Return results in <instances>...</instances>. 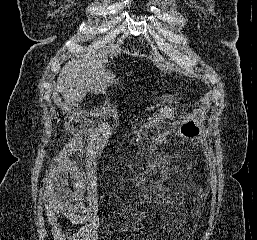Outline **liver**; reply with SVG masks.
<instances>
[{
	"instance_id": "1",
	"label": "liver",
	"mask_w": 257,
	"mask_h": 240,
	"mask_svg": "<svg viewBox=\"0 0 257 240\" xmlns=\"http://www.w3.org/2000/svg\"><path fill=\"white\" fill-rule=\"evenodd\" d=\"M102 61L87 60L77 56L61 70L54 95L60 93L68 105L81 101L87 92H102L115 81L111 71H104ZM117 84V81H115Z\"/></svg>"
}]
</instances>
